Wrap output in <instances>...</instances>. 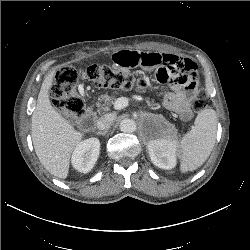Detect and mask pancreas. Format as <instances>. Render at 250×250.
<instances>
[{
    "label": "pancreas",
    "instance_id": "obj_1",
    "mask_svg": "<svg viewBox=\"0 0 250 250\" xmlns=\"http://www.w3.org/2000/svg\"><path fill=\"white\" fill-rule=\"evenodd\" d=\"M114 96H109L107 94L103 95L101 99L96 103L98 107V111L103 110V111H108L110 106L114 103ZM148 106H151V109L156 110L160 107L159 104L154 103L152 100L151 102L148 100L147 101ZM172 130L175 132V128L172 126Z\"/></svg>",
    "mask_w": 250,
    "mask_h": 250
}]
</instances>
